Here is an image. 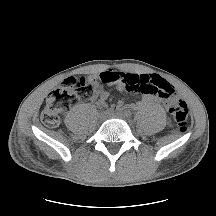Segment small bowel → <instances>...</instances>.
I'll use <instances>...</instances> for the list:
<instances>
[{
	"mask_svg": "<svg viewBox=\"0 0 216 216\" xmlns=\"http://www.w3.org/2000/svg\"><path fill=\"white\" fill-rule=\"evenodd\" d=\"M100 79L107 84L114 85L119 91H133L129 88L131 80L138 81L139 83H145L148 85H156L159 82H166L163 78L158 75L150 74H136V73H124L115 71H105L100 74ZM142 101L132 105L134 108L140 107L142 104L152 103L154 101L164 102L165 99L158 94L152 92H142ZM109 97V93L103 87H99L91 97V101L98 105H102L106 102ZM116 107L121 109L124 107L123 101H118Z\"/></svg>",
	"mask_w": 216,
	"mask_h": 216,
	"instance_id": "obj_1",
	"label": "small bowel"
}]
</instances>
